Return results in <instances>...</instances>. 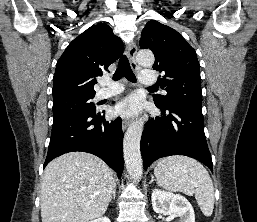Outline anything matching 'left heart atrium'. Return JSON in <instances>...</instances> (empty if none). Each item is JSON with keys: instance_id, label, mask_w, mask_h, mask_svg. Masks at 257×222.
Wrapping results in <instances>:
<instances>
[{"instance_id": "left-heart-atrium-1", "label": "left heart atrium", "mask_w": 257, "mask_h": 222, "mask_svg": "<svg viewBox=\"0 0 257 222\" xmlns=\"http://www.w3.org/2000/svg\"><path fill=\"white\" fill-rule=\"evenodd\" d=\"M141 108V103L136 96H128L120 101L114 108V114L116 116L130 118L135 116Z\"/></svg>"}]
</instances>
